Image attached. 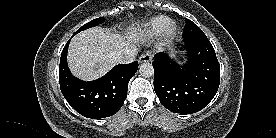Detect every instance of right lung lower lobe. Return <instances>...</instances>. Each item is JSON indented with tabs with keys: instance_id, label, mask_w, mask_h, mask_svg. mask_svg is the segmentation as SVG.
Returning a JSON list of instances; mask_svg holds the SVG:
<instances>
[{
	"instance_id": "right-lung-lower-lobe-1",
	"label": "right lung lower lobe",
	"mask_w": 276,
	"mask_h": 138,
	"mask_svg": "<svg viewBox=\"0 0 276 138\" xmlns=\"http://www.w3.org/2000/svg\"><path fill=\"white\" fill-rule=\"evenodd\" d=\"M69 41L62 51L59 65L63 96L84 117L99 119L114 115L127 97L128 83L138 69V62L117 65L105 76L84 82L75 78L68 68Z\"/></svg>"
}]
</instances>
